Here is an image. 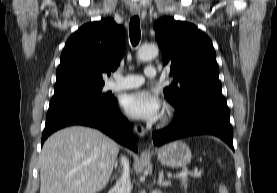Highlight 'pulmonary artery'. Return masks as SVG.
<instances>
[{
    "mask_svg": "<svg viewBox=\"0 0 277 193\" xmlns=\"http://www.w3.org/2000/svg\"><path fill=\"white\" fill-rule=\"evenodd\" d=\"M157 76V70L153 66H148L144 70V76L138 74H127L125 76L115 75L114 79L106 84V89L112 91L127 90L141 86L145 77L154 78Z\"/></svg>",
    "mask_w": 277,
    "mask_h": 193,
    "instance_id": "1",
    "label": "pulmonary artery"
}]
</instances>
